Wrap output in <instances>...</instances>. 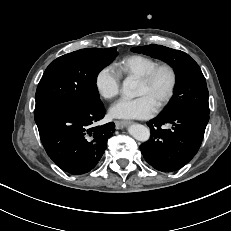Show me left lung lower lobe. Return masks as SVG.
<instances>
[{
    "instance_id": "1",
    "label": "left lung lower lobe",
    "mask_w": 231,
    "mask_h": 231,
    "mask_svg": "<svg viewBox=\"0 0 231 231\" xmlns=\"http://www.w3.org/2000/svg\"><path fill=\"white\" fill-rule=\"evenodd\" d=\"M208 121L209 115L193 110L160 114L147 123L151 138L140 146L144 159L162 172L180 169L198 152Z\"/></svg>"
}]
</instances>
